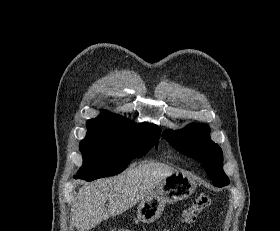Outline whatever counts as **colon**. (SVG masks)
<instances>
[{
	"instance_id": "obj_1",
	"label": "colon",
	"mask_w": 280,
	"mask_h": 231,
	"mask_svg": "<svg viewBox=\"0 0 280 231\" xmlns=\"http://www.w3.org/2000/svg\"><path fill=\"white\" fill-rule=\"evenodd\" d=\"M210 204V198L205 193H199L192 201V204L187 211L186 215L182 216L183 220H175V225H188V220H195V213H199V210L206 208ZM172 225H165L164 231H172Z\"/></svg>"
}]
</instances>
